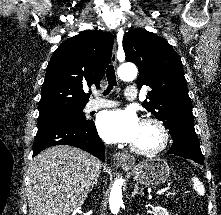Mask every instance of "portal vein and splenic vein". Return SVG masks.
Instances as JSON below:
<instances>
[{
    "label": "portal vein and splenic vein",
    "mask_w": 221,
    "mask_h": 215,
    "mask_svg": "<svg viewBox=\"0 0 221 215\" xmlns=\"http://www.w3.org/2000/svg\"><path fill=\"white\" fill-rule=\"evenodd\" d=\"M162 192L164 193H167V194H170V192L167 190V189H164V190H162Z\"/></svg>",
    "instance_id": "portal-vein-and-splenic-vein-1"
}]
</instances>
